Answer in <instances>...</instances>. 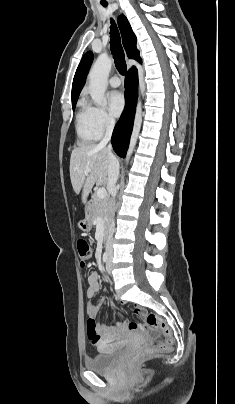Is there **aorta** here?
<instances>
[{"label":"aorta","mask_w":235,"mask_h":404,"mask_svg":"<svg viewBox=\"0 0 235 404\" xmlns=\"http://www.w3.org/2000/svg\"><path fill=\"white\" fill-rule=\"evenodd\" d=\"M112 59L106 54H100L89 73V93L93 102L102 106L106 102L105 91L108 85V76L112 67ZM142 124V105L138 99L133 131L126 156L128 162L136 145Z\"/></svg>","instance_id":"1"}]
</instances>
